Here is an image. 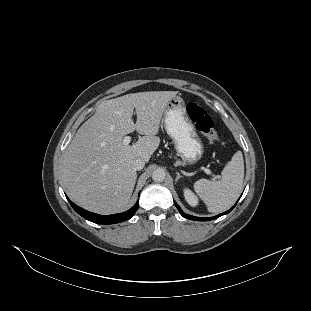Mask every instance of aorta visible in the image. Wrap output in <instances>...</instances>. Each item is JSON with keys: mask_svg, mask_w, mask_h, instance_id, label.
<instances>
[{"mask_svg": "<svg viewBox=\"0 0 311 311\" xmlns=\"http://www.w3.org/2000/svg\"><path fill=\"white\" fill-rule=\"evenodd\" d=\"M166 179V173L163 169H156L152 173V180L156 183H162Z\"/></svg>", "mask_w": 311, "mask_h": 311, "instance_id": "obj_1", "label": "aorta"}]
</instances>
